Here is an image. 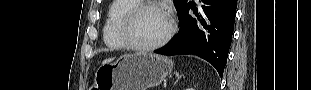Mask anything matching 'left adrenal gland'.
Instances as JSON below:
<instances>
[{
	"label": "left adrenal gland",
	"instance_id": "obj_1",
	"mask_svg": "<svg viewBox=\"0 0 311 90\" xmlns=\"http://www.w3.org/2000/svg\"><path fill=\"white\" fill-rule=\"evenodd\" d=\"M175 76L177 77L176 82H178V80H180V78L182 77V75H179L178 73H175Z\"/></svg>",
	"mask_w": 311,
	"mask_h": 90
}]
</instances>
